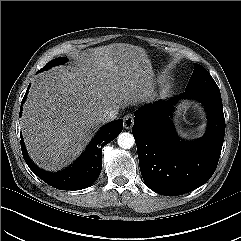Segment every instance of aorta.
I'll list each match as a JSON object with an SVG mask.
<instances>
[{"mask_svg":"<svg viewBox=\"0 0 241 241\" xmlns=\"http://www.w3.org/2000/svg\"><path fill=\"white\" fill-rule=\"evenodd\" d=\"M117 142L122 149H130L133 147L135 139L132 134L128 132H122L119 134Z\"/></svg>","mask_w":241,"mask_h":241,"instance_id":"aorta-1","label":"aorta"}]
</instances>
